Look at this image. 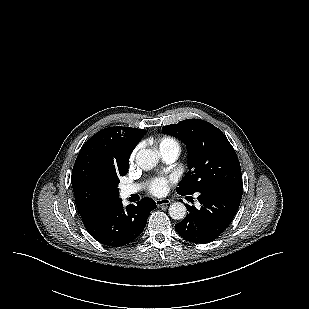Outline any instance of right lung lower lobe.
Listing matches in <instances>:
<instances>
[{
    "label": "right lung lower lobe",
    "instance_id": "right-lung-lower-lobe-1",
    "mask_svg": "<svg viewBox=\"0 0 309 309\" xmlns=\"http://www.w3.org/2000/svg\"><path fill=\"white\" fill-rule=\"evenodd\" d=\"M156 203L144 198L137 205L123 207L117 198L82 219L87 231L108 247H121L136 240L146 226L149 213Z\"/></svg>",
    "mask_w": 309,
    "mask_h": 309
}]
</instances>
